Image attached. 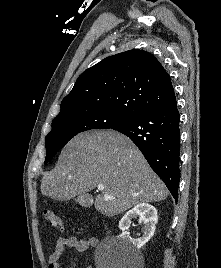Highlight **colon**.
<instances>
[{"label": "colon", "mask_w": 221, "mask_h": 268, "mask_svg": "<svg viewBox=\"0 0 221 268\" xmlns=\"http://www.w3.org/2000/svg\"><path fill=\"white\" fill-rule=\"evenodd\" d=\"M44 217L51 223L54 227H63V222L61 218L52 210L46 209L44 210Z\"/></svg>", "instance_id": "obj_1"}]
</instances>
